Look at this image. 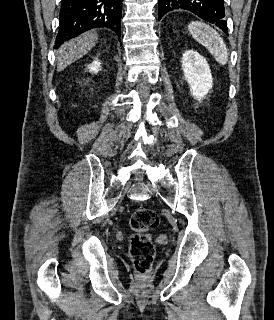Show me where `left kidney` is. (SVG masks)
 <instances>
[{
    "mask_svg": "<svg viewBox=\"0 0 274 320\" xmlns=\"http://www.w3.org/2000/svg\"><path fill=\"white\" fill-rule=\"evenodd\" d=\"M182 70L194 100L200 102L209 94L213 86L209 64L195 50H186L182 58Z\"/></svg>",
    "mask_w": 274,
    "mask_h": 320,
    "instance_id": "1",
    "label": "left kidney"
}]
</instances>
